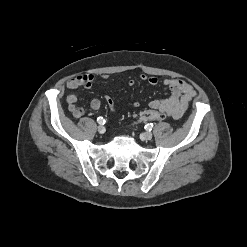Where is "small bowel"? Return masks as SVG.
Wrapping results in <instances>:
<instances>
[{
	"label": "small bowel",
	"mask_w": 247,
	"mask_h": 247,
	"mask_svg": "<svg viewBox=\"0 0 247 247\" xmlns=\"http://www.w3.org/2000/svg\"><path fill=\"white\" fill-rule=\"evenodd\" d=\"M103 77L108 78L107 75ZM94 80L95 77L93 74H81L70 78L66 82L67 88L71 90L66 95L68 110L77 119L81 118L84 115L85 111L83 108L76 105L78 96L74 90L79 87L91 89ZM140 80L152 86H155L159 83V80L156 77L147 76L145 74H142L140 76ZM135 83L136 81L134 79H130L128 82L129 86H134ZM163 84L171 90V96L167 99L153 100L150 102L149 105L152 109L158 110L167 117L179 119L186 112L190 101L195 96V91L188 82L182 79L167 78L163 80ZM106 102L109 109L112 112H115L117 108L114 100L110 96H106ZM89 106L91 110H98L101 106V102L98 98H93L90 101ZM133 106L139 107L140 103L136 101L133 103Z\"/></svg>",
	"instance_id": "1"
}]
</instances>
